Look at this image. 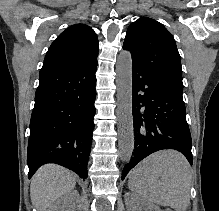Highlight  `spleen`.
<instances>
[{"instance_id":"spleen-1","label":"spleen","mask_w":219,"mask_h":211,"mask_svg":"<svg viewBox=\"0 0 219 211\" xmlns=\"http://www.w3.org/2000/svg\"><path fill=\"white\" fill-rule=\"evenodd\" d=\"M128 187L141 201L185 211L190 205V163L180 151L161 149L130 171Z\"/></svg>"}]
</instances>
